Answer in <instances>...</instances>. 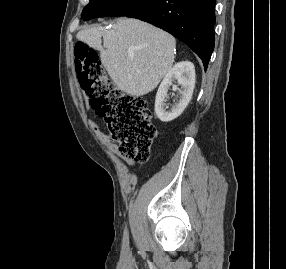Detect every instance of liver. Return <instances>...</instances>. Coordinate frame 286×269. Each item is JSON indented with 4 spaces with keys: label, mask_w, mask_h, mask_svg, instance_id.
Instances as JSON below:
<instances>
[{
    "label": "liver",
    "mask_w": 286,
    "mask_h": 269,
    "mask_svg": "<svg viewBox=\"0 0 286 269\" xmlns=\"http://www.w3.org/2000/svg\"><path fill=\"white\" fill-rule=\"evenodd\" d=\"M77 39L99 50L114 84L137 97L155 89L168 73L176 45L169 33L132 18L117 19L109 30L102 26L83 29Z\"/></svg>",
    "instance_id": "6515ba94"
}]
</instances>
